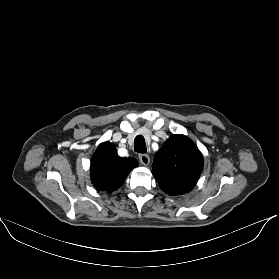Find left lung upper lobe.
I'll use <instances>...</instances> for the list:
<instances>
[{"mask_svg":"<svg viewBox=\"0 0 279 279\" xmlns=\"http://www.w3.org/2000/svg\"><path fill=\"white\" fill-rule=\"evenodd\" d=\"M203 169V156L194 142L184 135H171L156 152L152 173L159 187L171 196L189 192Z\"/></svg>","mask_w":279,"mask_h":279,"instance_id":"left-lung-upper-lobe-1","label":"left lung upper lobe"}]
</instances>
